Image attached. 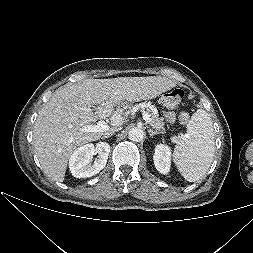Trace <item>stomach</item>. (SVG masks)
Returning <instances> with one entry per match:
<instances>
[{"label": "stomach", "mask_w": 253, "mask_h": 253, "mask_svg": "<svg viewBox=\"0 0 253 253\" xmlns=\"http://www.w3.org/2000/svg\"><path fill=\"white\" fill-rule=\"evenodd\" d=\"M168 99V95L164 94L161 96L160 101L163 105H166ZM118 109L123 112V113H128L131 111L132 109V102L130 99L128 98H123L120 100L119 104H118Z\"/></svg>", "instance_id": "0dacf381"}]
</instances>
